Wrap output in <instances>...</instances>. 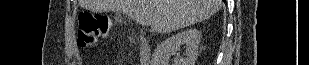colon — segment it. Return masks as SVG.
Segmentation results:
<instances>
[{
  "instance_id": "5ec220e1",
  "label": "colon",
  "mask_w": 309,
  "mask_h": 65,
  "mask_svg": "<svg viewBox=\"0 0 309 65\" xmlns=\"http://www.w3.org/2000/svg\"><path fill=\"white\" fill-rule=\"evenodd\" d=\"M114 22L111 17L101 14H92L84 11L78 15V44L85 48L97 43L112 28Z\"/></svg>"
}]
</instances>
